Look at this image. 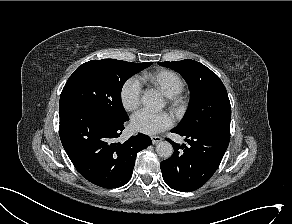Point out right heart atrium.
Listing matches in <instances>:
<instances>
[{
	"label": "right heart atrium",
	"mask_w": 292,
	"mask_h": 224,
	"mask_svg": "<svg viewBox=\"0 0 292 224\" xmlns=\"http://www.w3.org/2000/svg\"><path fill=\"white\" fill-rule=\"evenodd\" d=\"M142 87L139 80L131 77L126 80L120 89V99L123 107L132 111L136 109L141 102Z\"/></svg>",
	"instance_id": "1"
}]
</instances>
